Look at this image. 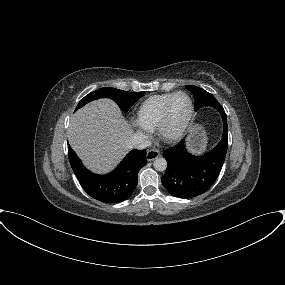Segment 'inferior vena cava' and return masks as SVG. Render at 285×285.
I'll return each mask as SVG.
<instances>
[{
  "label": "inferior vena cava",
  "instance_id": "obj_1",
  "mask_svg": "<svg viewBox=\"0 0 285 285\" xmlns=\"http://www.w3.org/2000/svg\"><path fill=\"white\" fill-rule=\"evenodd\" d=\"M151 145L150 140L143 133H135L132 135L129 141L130 148L145 149Z\"/></svg>",
  "mask_w": 285,
  "mask_h": 285
}]
</instances>
